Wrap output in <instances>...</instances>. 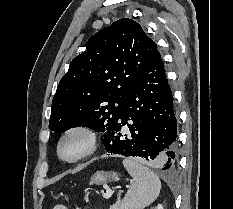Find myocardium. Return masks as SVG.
<instances>
[{
	"instance_id": "1",
	"label": "myocardium",
	"mask_w": 233,
	"mask_h": 209,
	"mask_svg": "<svg viewBox=\"0 0 233 209\" xmlns=\"http://www.w3.org/2000/svg\"><path fill=\"white\" fill-rule=\"evenodd\" d=\"M78 135L81 136L85 145L82 151L73 156L66 157L62 154V146L64 142L71 136ZM98 146V135L97 132L90 126L85 124H77L67 128L59 137L56 145V153L58 158L66 163H76L79 162L95 152Z\"/></svg>"
}]
</instances>
